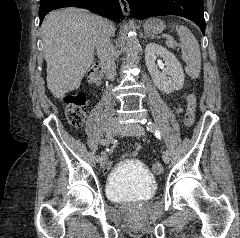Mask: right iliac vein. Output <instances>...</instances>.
<instances>
[{
  "label": "right iliac vein",
  "mask_w": 240,
  "mask_h": 238,
  "mask_svg": "<svg viewBox=\"0 0 240 238\" xmlns=\"http://www.w3.org/2000/svg\"><path fill=\"white\" fill-rule=\"evenodd\" d=\"M122 126L117 121H112L106 129V142L109 143L113 140L114 136L122 132ZM100 166L104 167L107 163V155L103 153L99 161Z\"/></svg>",
  "instance_id": "1"
}]
</instances>
